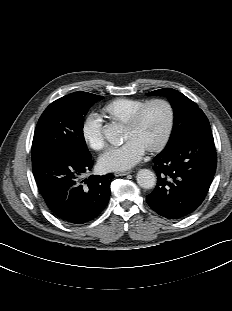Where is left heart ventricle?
<instances>
[{
  "label": "left heart ventricle",
  "instance_id": "obj_1",
  "mask_svg": "<svg viewBox=\"0 0 232 311\" xmlns=\"http://www.w3.org/2000/svg\"><path fill=\"white\" fill-rule=\"evenodd\" d=\"M167 123V108L161 104L154 105L146 112L143 120L136 128L125 129V140H139L148 148L162 137Z\"/></svg>",
  "mask_w": 232,
  "mask_h": 311
}]
</instances>
